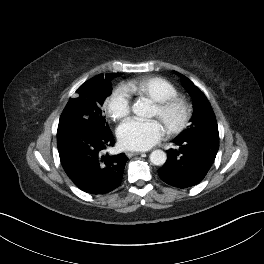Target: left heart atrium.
Masks as SVG:
<instances>
[{
  "mask_svg": "<svg viewBox=\"0 0 264 264\" xmlns=\"http://www.w3.org/2000/svg\"><path fill=\"white\" fill-rule=\"evenodd\" d=\"M165 129L158 120L131 118L121 124L117 130L120 143L132 150H146L158 143Z\"/></svg>",
  "mask_w": 264,
  "mask_h": 264,
  "instance_id": "obj_1",
  "label": "left heart atrium"
}]
</instances>
